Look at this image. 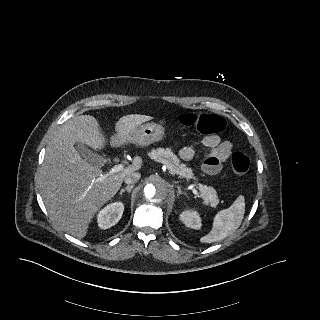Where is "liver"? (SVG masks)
Returning a JSON list of instances; mask_svg holds the SVG:
<instances>
[{
  "label": "liver",
  "mask_w": 320,
  "mask_h": 320,
  "mask_svg": "<svg viewBox=\"0 0 320 320\" xmlns=\"http://www.w3.org/2000/svg\"><path fill=\"white\" fill-rule=\"evenodd\" d=\"M151 119L139 114L121 117L115 125V144L129 143L130 132ZM77 142L94 150L105 147L104 131L95 117L75 116L57 131L46 150L40 190L55 224L72 236L83 238L96 212L114 197L125 176L140 170L142 159L136 156L123 171L104 175L79 155L74 148Z\"/></svg>",
  "instance_id": "liver-1"
}]
</instances>
